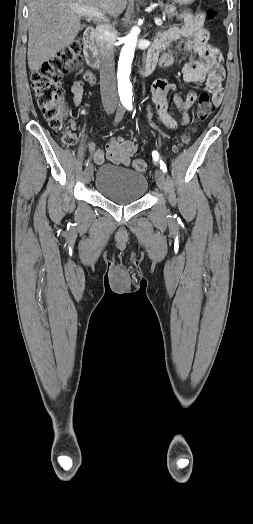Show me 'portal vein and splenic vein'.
<instances>
[{"label": "portal vein and splenic vein", "instance_id": "1", "mask_svg": "<svg viewBox=\"0 0 253 524\" xmlns=\"http://www.w3.org/2000/svg\"><path fill=\"white\" fill-rule=\"evenodd\" d=\"M72 9L75 13L85 16V17L97 18V19L105 18V16L102 13H100L97 9L93 7H80V6L74 5ZM154 21H155V24L158 26L163 24L160 18H155Z\"/></svg>", "mask_w": 253, "mask_h": 524}]
</instances>
